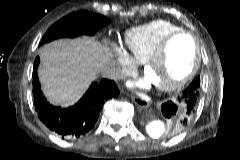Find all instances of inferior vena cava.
<instances>
[{
  "instance_id": "1",
  "label": "inferior vena cava",
  "mask_w": 240,
  "mask_h": 160,
  "mask_svg": "<svg viewBox=\"0 0 240 160\" xmlns=\"http://www.w3.org/2000/svg\"><path fill=\"white\" fill-rule=\"evenodd\" d=\"M99 72L102 77L109 79H116L120 76V70L112 64L101 67Z\"/></svg>"
}]
</instances>
